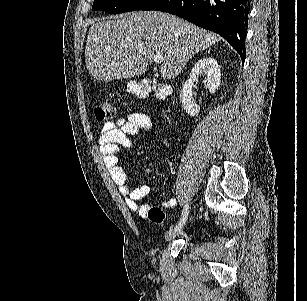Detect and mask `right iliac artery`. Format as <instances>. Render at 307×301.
I'll use <instances>...</instances> for the list:
<instances>
[{
  "label": "right iliac artery",
  "mask_w": 307,
  "mask_h": 301,
  "mask_svg": "<svg viewBox=\"0 0 307 301\" xmlns=\"http://www.w3.org/2000/svg\"><path fill=\"white\" fill-rule=\"evenodd\" d=\"M188 208L189 206L188 204H186L183 208L181 219L175 229H179L181 226H183V224H185L187 216H188Z\"/></svg>",
  "instance_id": "obj_1"
}]
</instances>
